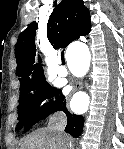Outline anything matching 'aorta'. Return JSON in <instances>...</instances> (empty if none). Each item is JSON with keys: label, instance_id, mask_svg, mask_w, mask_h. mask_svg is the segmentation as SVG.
<instances>
[{"label": "aorta", "instance_id": "762f6f07", "mask_svg": "<svg viewBox=\"0 0 124 149\" xmlns=\"http://www.w3.org/2000/svg\"><path fill=\"white\" fill-rule=\"evenodd\" d=\"M76 56L81 58L84 62L85 68L89 66L90 62V53L88 48L85 45H80L76 50Z\"/></svg>", "mask_w": 124, "mask_h": 149}]
</instances>
